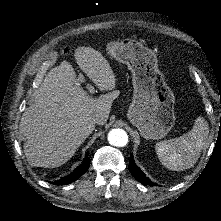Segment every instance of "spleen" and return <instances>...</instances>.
Instances as JSON below:
<instances>
[{
    "mask_svg": "<svg viewBox=\"0 0 221 221\" xmlns=\"http://www.w3.org/2000/svg\"><path fill=\"white\" fill-rule=\"evenodd\" d=\"M208 135V121L198 117L188 133L156 144L158 158L170 170L185 171L193 168L206 145Z\"/></svg>",
    "mask_w": 221,
    "mask_h": 221,
    "instance_id": "1",
    "label": "spleen"
}]
</instances>
